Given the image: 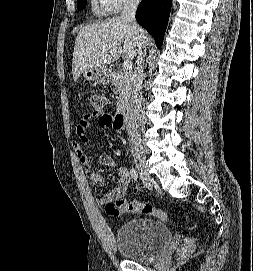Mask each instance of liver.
I'll return each mask as SVG.
<instances>
[{
  "instance_id": "1",
  "label": "liver",
  "mask_w": 253,
  "mask_h": 271,
  "mask_svg": "<svg viewBox=\"0 0 253 271\" xmlns=\"http://www.w3.org/2000/svg\"><path fill=\"white\" fill-rule=\"evenodd\" d=\"M148 43L145 31L139 40L133 26L121 17L86 25L79 30L75 41L73 79L77 81L85 70L106 66L121 54L124 60H131L138 55L139 44L145 47Z\"/></svg>"
}]
</instances>
